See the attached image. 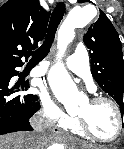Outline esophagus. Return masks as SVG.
Returning <instances> with one entry per match:
<instances>
[{
  "label": "esophagus",
  "mask_w": 124,
  "mask_h": 149,
  "mask_svg": "<svg viewBox=\"0 0 124 149\" xmlns=\"http://www.w3.org/2000/svg\"><path fill=\"white\" fill-rule=\"evenodd\" d=\"M61 2H66V1L65 0H61ZM51 132H52V134H59L60 130L58 128H56V127H53L51 129Z\"/></svg>",
  "instance_id": "obj_1"
}]
</instances>
